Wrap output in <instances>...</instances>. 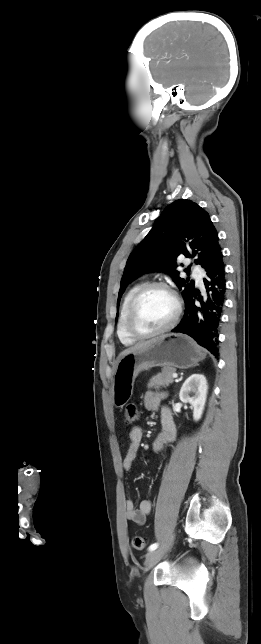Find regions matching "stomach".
I'll use <instances>...</instances> for the list:
<instances>
[{
	"label": "stomach",
	"instance_id": "0dacf381",
	"mask_svg": "<svg viewBox=\"0 0 261 644\" xmlns=\"http://www.w3.org/2000/svg\"><path fill=\"white\" fill-rule=\"evenodd\" d=\"M204 357L203 349L186 335L166 334L156 338L149 346L119 360L113 377V404L119 408L130 400L135 379L141 371L157 366L188 369Z\"/></svg>",
	"mask_w": 261,
	"mask_h": 644
}]
</instances>
